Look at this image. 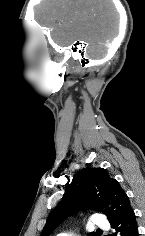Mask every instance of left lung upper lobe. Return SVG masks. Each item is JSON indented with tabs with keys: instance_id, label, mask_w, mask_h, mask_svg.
I'll return each instance as SVG.
<instances>
[{
	"instance_id": "5c2ea615",
	"label": "left lung upper lobe",
	"mask_w": 145,
	"mask_h": 236,
	"mask_svg": "<svg viewBox=\"0 0 145 236\" xmlns=\"http://www.w3.org/2000/svg\"><path fill=\"white\" fill-rule=\"evenodd\" d=\"M90 207L102 212L112 222L130 208V201L119 182L111 178L103 168H83L67 186L66 195L47 218L41 236L50 233L69 215ZM88 236H97L89 233Z\"/></svg>"
}]
</instances>
